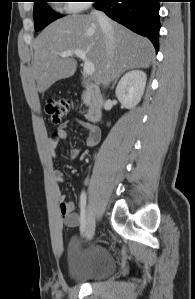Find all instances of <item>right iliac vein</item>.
Instances as JSON below:
<instances>
[{
  "mask_svg": "<svg viewBox=\"0 0 195 299\" xmlns=\"http://www.w3.org/2000/svg\"><path fill=\"white\" fill-rule=\"evenodd\" d=\"M85 233L88 240H91L95 233V218L90 208L87 209L86 213Z\"/></svg>",
  "mask_w": 195,
  "mask_h": 299,
  "instance_id": "1",
  "label": "right iliac vein"
}]
</instances>
